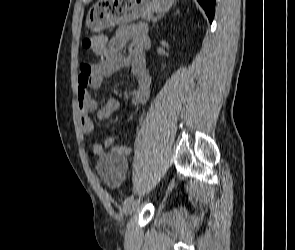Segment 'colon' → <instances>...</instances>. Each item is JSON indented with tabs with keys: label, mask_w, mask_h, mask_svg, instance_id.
I'll return each mask as SVG.
<instances>
[{
	"label": "colon",
	"mask_w": 295,
	"mask_h": 250,
	"mask_svg": "<svg viewBox=\"0 0 295 250\" xmlns=\"http://www.w3.org/2000/svg\"><path fill=\"white\" fill-rule=\"evenodd\" d=\"M82 46L87 51L97 52L104 46V38L99 35H89L84 38Z\"/></svg>",
	"instance_id": "obj_1"
}]
</instances>
